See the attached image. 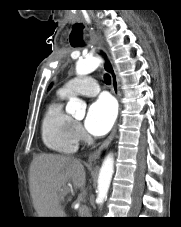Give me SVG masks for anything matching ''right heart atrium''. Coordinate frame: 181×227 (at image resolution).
Wrapping results in <instances>:
<instances>
[{
    "instance_id": "1",
    "label": "right heart atrium",
    "mask_w": 181,
    "mask_h": 227,
    "mask_svg": "<svg viewBox=\"0 0 181 227\" xmlns=\"http://www.w3.org/2000/svg\"><path fill=\"white\" fill-rule=\"evenodd\" d=\"M74 134L77 141H85L87 138L85 131L78 122H74Z\"/></svg>"
}]
</instances>
